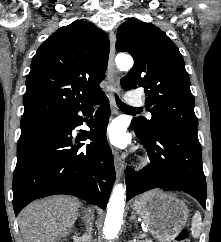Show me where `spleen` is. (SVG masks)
Returning a JSON list of instances; mask_svg holds the SVG:
<instances>
[{"label": "spleen", "instance_id": "3e777b00", "mask_svg": "<svg viewBox=\"0 0 221 242\" xmlns=\"http://www.w3.org/2000/svg\"><path fill=\"white\" fill-rule=\"evenodd\" d=\"M200 229H201V215L199 212H196L192 219V227H191V233L194 238L199 237Z\"/></svg>", "mask_w": 221, "mask_h": 242}]
</instances>
